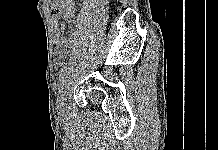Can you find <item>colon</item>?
<instances>
[{"mask_svg":"<svg viewBox=\"0 0 218 150\" xmlns=\"http://www.w3.org/2000/svg\"><path fill=\"white\" fill-rule=\"evenodd\" d=\"M73 2L75 4L76 0H53L52 9L55 12H62L68 9V4Z\"/></svg>","mask_w":218,"mask_h":150,"instance_id":"1","label":"colon"}]
</instances>
